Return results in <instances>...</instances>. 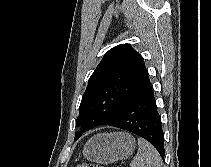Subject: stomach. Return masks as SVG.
<instances>
[{
  "mask_svg": "<svg viewBox=\"0 0 211 167\" xmlns=\"http://www.w3.org/2000/svg\"><path fill=\"white\" fill-rule=\"evenodd\" d=\"M135 147V139L128 133H103L93 136L86 142L83 155L87 160L110 164L130 157Z\"/></svg>",
  "mask_w": 211,
  "mask_h": 167,
  "instance_id": "stomach-1",
  "label": "stomach"
}]
</instances>
